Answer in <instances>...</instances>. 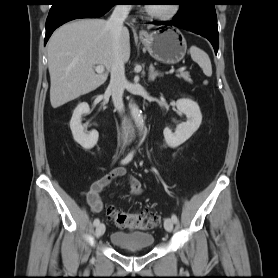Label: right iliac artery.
Segmentation results:
<instances>
[{
  "label": "right iliac artery",
  "mask_w": 278,
  "mask_h": 278,
  "mask_svg": "<svg viewBox=\"0 0 278 278\" xmlns=\"http://www.w3.org/2000/svg\"><path fill=\"white\" fill-rule=\"evenodd\" d=\"M133 155H134V152L131 151V152L121 161V164H127V163H129V162L132 160ZM99 223H100V220H99L98 218H96V219L94 220V226H98Z\"/></svg>",
  "instance_id": "82829eb1"
}]
</instances>
